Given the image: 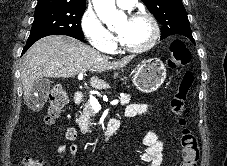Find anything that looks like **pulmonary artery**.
Masks as SVG:
<instances>
[{
  "label": "pulmonary artery",
  "instance_id": "1",
  "mask_svg": "<svg viewBox=\"0 0 227 166\" xmlns=\"http://www.w3.org/2000/svg\"><path fill=\"white\" fill-rule=\"evenodd\" d=\"M117 5L122 9H132L137 0H116Z\"/></svg>",
  "mask_w": 227,
  "mask_h": 166
}]
</instances>
